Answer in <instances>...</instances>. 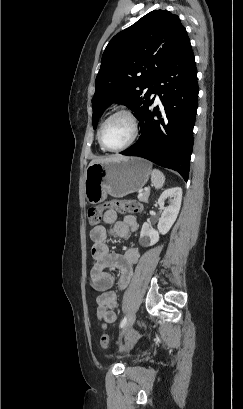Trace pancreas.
I'll use <instances>...</instances> for the list:
<instances>
[{
    "mask_svg": "<svg viewBox=\"0 0 243 409\" xmlns=\"http://www.w3.org/2000/svg\"><path fill=\"white\" fill-rule=\"evenodd\" d=\"M149 194H150L149 191H145V192L139 194L138 195L139 201L147 203Z\"/></svg>",
    "mask_w": 243,
    "mask_h": 409,
    "instance_id": "cf45deb5",
    "label": "pancreas"
}]
</instances>
